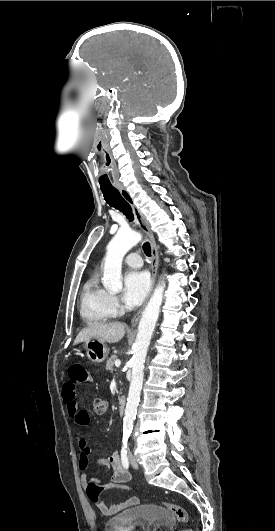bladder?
I'll list each match as a JSON object with an SVG mask.
<instances>
[{
	"instance_id": "1",
	"label": "bladder",
	"mask_w": 275,
	"mask_h": 531,
	"mask_svg": "<svg viewBox=\"0 0 275 531\" xmlns=\"http://www.w3.org/2000/svg\"><path fill=\"white\" fill-rule=\"evenodd\" d=\"M174 514L161 504H140L105 520L104 531H173Z\"/></svg>"
}]
</instances>
